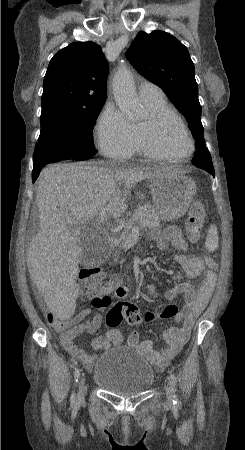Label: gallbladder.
Listing matches in <instances>:
<instances>
[{
    "label": "gallbladder",
    "mask_w": 245,
    "mask_h": 450,
    "mask_svg": "<svg viewBox=\"0 0 245 450\" xmlns=\"http://www.w3.org/2000/svg\"><path fill=\"white\" fill-rule=\"evenodd\" d=\"M79 245L82 250L80 261L83 265L102 263L108 256L109 250L102 240L82 236Z\"/></svg>",
    "instance_id": "1"
}]
</instances>
